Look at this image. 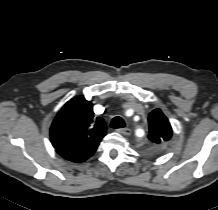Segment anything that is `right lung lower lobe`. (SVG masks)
Returning <instances> with one entry per match:
<instances>
[{"label":"right lung lower lobe","mask_w":218,"mask_h":210,"mask_svg":"<svg viewBox=\"0 0 218 210\" xmlns=\"http://www.w3.org/2000/svg\"><path fill=\"white\" fill-rule=\"evenodd\" d=\"M58 152L59 155H61L63 158L73 161V162H82L85 161L86 159H88L90 156L88 157H81L79 155L76 154H72L66 151H62V150H56Z\"/></svg>","instance_id":"1"}]
</instances>
